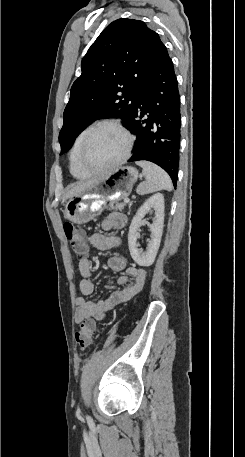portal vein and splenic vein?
I'll return each mask as SVG.
<instances>
[{
    "instance_id": "18ae733b",
    "label": "portal vein and splenic vein",
    "mask_w": 245,
    "mask_h": 457,
    "mask_svg": "<svg viewBox=\"0 0 245 457\" xmlns=\"http://www.w3.org/2000/svg\"><path fill=\"white\" fill-rule=\"evenodd\" d=\"M124 202H129V198H124Z\"/></svg>"
}]
</instances>
